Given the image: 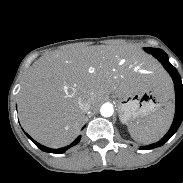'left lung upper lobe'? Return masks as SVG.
<instances>
[{"label":"left lung upper lobe","instance_id":"1","mask_svg":"<svg viewBox=\"0 0 183 183\" xmlns=\"http://www.w3.org/2000/svg\"><path fill=\"white\" fill-rule=\"evenodd\" d=\"M152 49H156V48H144V50L147 51L148 53H151Z\"/></svg>","mask_w":183,"mask_h":183}]
</instances>
